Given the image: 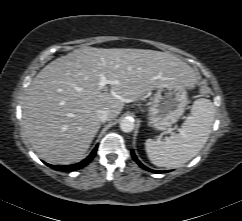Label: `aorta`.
I'll list each match as a JSON object with an SVG mask.
<instances>
[{"label":"aorta","instance_id":"762f6f07","mask_svg":"<svg viewBox=\"0 0 242 221\" xmlns=\"http://www.w3.org/2000/svg\"><path fill=\"white\" fill-rule=\"evenodd\" d=\"M134 127H135V123H134V120L131 118H124L120 122V129L123 132H126V133L131 132L134 130Z\"/></svg>","mask_w":242,"mask_h":221}]
</instances>
